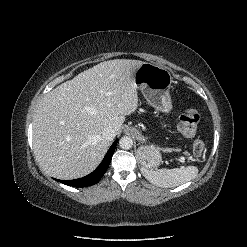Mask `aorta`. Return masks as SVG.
Returning a JSON list of instances; mask_svg holds the SVG:
<instances>
[{"instance_id": "1", "label": "aorta", "mask_w": 247, "mask_h": 247, "mask_svg": "<svg viewBox=\"0 0 247 247\" xmlns=\"http://www.w3.org/2000/svg\"><path fill=\"white\" fill-rule=\"evenodd\" d=\"M119 146L122 149L129 150L133 146V140L132 138L128 136H124L119 140Z\"/></svg>"}]
</instances>
